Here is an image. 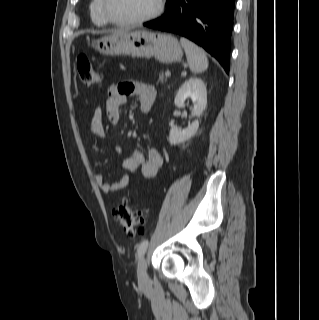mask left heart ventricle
<instances>
[{
	"mask_svg": "<svg viewBox=\"0 0 319 320\" xmlns=\"http://www.w3.org/2000/svg\"><path fill=\"white\" fill-rule=\"evenodd\" d=\"M158 0H108V9L116 19L126 20L146 16L157 7Z\"/></svg>",
	"mask_w": 319,
	"mask_h": 320,
	"instance_id": "b2bd125f",
	"label": "left heart ventricle"
}]
</instances>
